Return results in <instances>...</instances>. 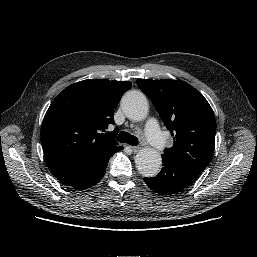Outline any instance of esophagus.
I'll return each instance as SVG.
<instances>
[{"mask_svg":"<svg viewBox=\"0 0 257 257\" xmlns=\"http://www.w3.org/2000/svg\"><path fill=\"white\" fill-rule=\"evenodd\" d=\"M140 149H141V148H140L139 146H132V147H131V150H132L134 153L139 152Z\"/></svg>","mask_w":257,"mask_h":257,"instance_id":"34e87169","label":"esophagus"}]
</instances>
